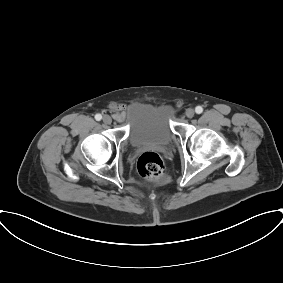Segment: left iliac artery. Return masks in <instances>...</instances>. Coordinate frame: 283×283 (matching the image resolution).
<instances>
[{"label": "left iliac artery", "instance_id": "44dca946", "mask_svg": "<svg viewBox=\"0 0 283 283\" xmlns=\"http://www.w3.org/2000/svg\"><path fill=\"white\" fill-rule=\"evenodd\" d=\"M195 112H196L197 114H201V113L203 112V108H202L201 106H197V107L195 108Z\"/></svg>", "mask_w": 283, "mask_h": 283}]
</instances>
